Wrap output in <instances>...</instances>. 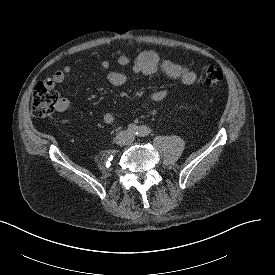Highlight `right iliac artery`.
I'll use <instances>...</instances> for the list:
<instances>
[{"label": "right iliac artery", "instance_id": "1", "mask_svg": "<svg viewBox=\"0 0 275 275\" xmlns=\"http://www.w3.org/2000/svg\"><path fill=\"white\" fill-rule=\"evenodd\" d=\"M128 130L132 134H137V132H138V126H136L135 124H131L129 126Z\"/></svg>", "mask_w": 275, "mask_h": 275}]
</instances>
